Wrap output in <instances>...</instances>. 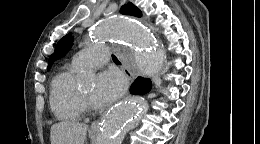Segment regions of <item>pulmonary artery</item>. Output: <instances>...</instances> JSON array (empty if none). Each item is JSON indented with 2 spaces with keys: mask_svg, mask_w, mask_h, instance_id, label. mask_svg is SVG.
<instances>
[{
  "mask_svg": "<svg viewBox=\"0 0 260 144\" xmlns=\"http://www.w3.org/2000/svg\"><path fill=\"white\" fill-rule=\"evenodd\" d=\"M109 61V48L106 45H92L78 51L72 62L79 68H95Z\"/></svg>",
  "mask_w": 260,
  "mask_h": 144,
  "instance_id": "e3ab8cb5",
  "label": "pulmonary artery"
}]
</instances>
